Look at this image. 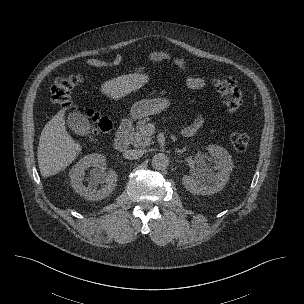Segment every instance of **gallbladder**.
I'll use <instances>...</instances> for the list:
<instances>
[{
  "label": "gallbladder",
  "instance_id": "gallbladder-1",
  "mask_svg": "<svg viewBox=\"0 0 304 304\" xmlns=\"http://www.w3.org/2000/svg\"><path fill=\"white\" fill-rule=\"evenodd\" d=\"M66 122L70 130L77 135L84 136L90 133L89 120L84 114L80 112L70 113L67 117Z\"/></svg>",
  "mask_w": 304,
  "mask_h": 304
}]
</instances>
